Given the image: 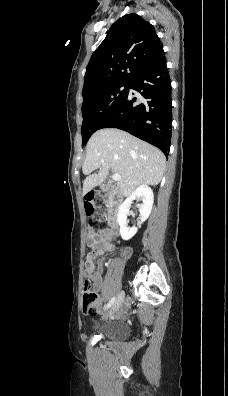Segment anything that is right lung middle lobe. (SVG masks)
<instances>
[{
    "label": "right lung middle lobe",
    "mask_w": 228,
    "mask_h": 396,
    "mask_svg": "<svg viewBox=\"0 0 228 396\" xmlns=\"http://www.w3.org/2000/svg\"><path fill=\"white\" fill-rule=\"evenodd\" d=\"M131 82L115 83L83 95L82 144L100 129L104 120L115 111L128 93Z\"/></svg>",
    "instance_id": "obj_1"
}]
</instances>
